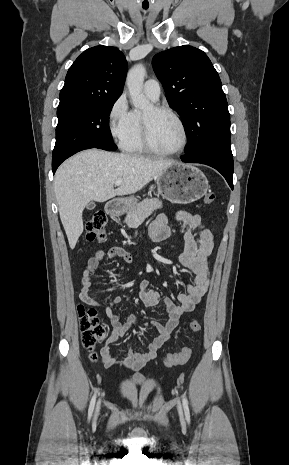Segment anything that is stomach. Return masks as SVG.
Here are the masks:
<instances>
[{"label": "stomach", "instance_id": "0dacf381", "mask_svg": "<svg viewBox=\"0 0 289 465\" xmlns=\"http://www.w3.org/2000/svg\"><path fill=\"white\" fill-rule=\"evenodd\" d=\"M158 194L173 203L188 204L202 198L208 190V180L198 168L174 163L156 177ZM137 204L134 197L117 199L110 209L124 212Z\"/></svg>", "mask_w": 289, "mask_h": 465}]
</instances>
